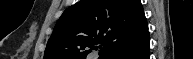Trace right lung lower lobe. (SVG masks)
<instances>
[{
  "label": "right lung lower lobe",
  "mask_w": 193,
  "mask_h": 59,
  "mask_svg": "<svg viewBox=\"0 0 193 59\" xmlns=\"http://www.w3.org/2000/svg\"><path fill=\"white\" fill-rule=\"evenodd\" d=\"M108 59H149V33L120 49Z\"/></svg>",
  "instance_id": "98d812e1"
}]
</instances>
